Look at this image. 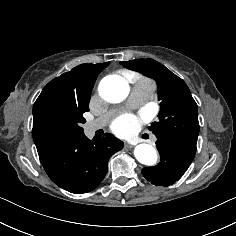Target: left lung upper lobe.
Masks as SVG:
<instances>
[{"label":"left lung upper lobe","instance_id":"left-lung-upper-lobe-1","mask_svg":"<svg viewBox=\"0 0 236 236\" xmlns=\"http://www.w3.org/2000/svg\"><path fill=\"white\" fill-rule=\"evenodd\" d=\"M120 64L157 82L158 97L161 100L159 121L153 122L149 130L157 138L174 136L197 142L198 109L186 83L153 59L121 61Z\"/></svg>","mask_w":236,"mask_h":236}]
</instances>
